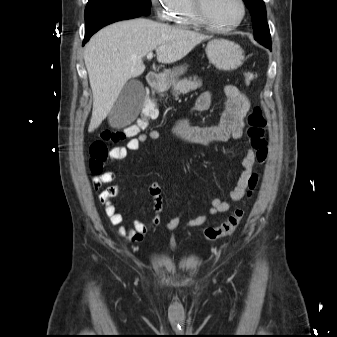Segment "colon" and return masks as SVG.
Masks as SVG:
<instances>
[{"label": "colon", "mask_w": 337, "mask_h": 337, "mask_svg": "<svg viewBox=\"0 0 337 337\" xmlns=\"http://www.w3.org/2000/svg\"><path fill=\"white\" fill-rule=\"evenodd\" d=\"M245 80L248 85H254L257 81V74L253 71L245 73ZM144 100L140 101V106L144 107L138 120L119 130H106L100 137L94 140L89 148V165L93 173H99L103 168V163L108 156L106 142H118L128 138H134L149 126L151 119H157L156 96L154 91H145ZM247 136L251 148L255 152L258 163L263 164L268 156V142L265 137L266 119L260 107L252 108L247 117ZM259 176L253 173L248 181V196H251L258 184ZM245 216L243 207L237 208L225 221L215 227L205 228L202 237L207 241H214L222 237L231 235L240 225Z\"/></svg>", "instance_id": "1"}]
</instances>
